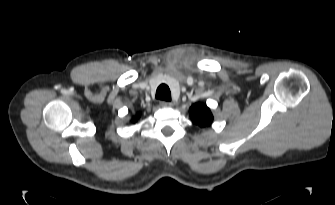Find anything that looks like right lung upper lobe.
<instances>
[{
    "instance_id": "cb5924a9",
    "label": "right lung upper lobe",
    "mask_w": 335,
    "mask_h": 205,
    "mask_svg": "<svg viewBox=\"0 0 335 205\" xmlns=\"http://www.w3.org/2000/svg\"><path fill=\"white\" fill-rule=\"evenodd\" d=\"M139 118V115H137L136 119ZM136 119H134V121H136Z\"/></svg>"
}]
</instances>
